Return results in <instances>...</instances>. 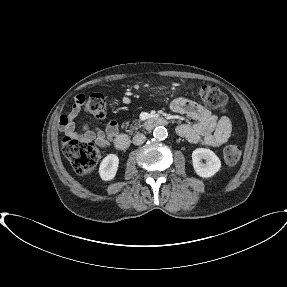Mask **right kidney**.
<instances>
[{
	"mask_svg": "<svg viewBox=\"0 0 287 287\" xmlns=\"http://www.w3.org/2000/svg\"><path fill=\"white\" fill-rule=\"evenodd\" d=\"M119 158L116 154H108L100 163L99 174L102 180H112L118 170Z\"/></svg>",
	"mask_w": 287,
	"mask_h": 287,
	"instance_id": "1",
	"label": "right kidney"
}]
</instances>
